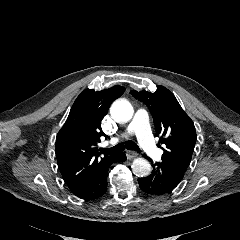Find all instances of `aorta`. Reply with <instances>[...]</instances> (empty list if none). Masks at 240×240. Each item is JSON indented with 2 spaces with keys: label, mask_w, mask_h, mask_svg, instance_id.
Returning a JSON list of instances; mask_svg holds the SVG:
<instances>
[{
  "label": "aorta",
  "mask_w": 240,
  "mask_h": 240,
  "mask_svg": "<svg viewBox=\"0 0 240 240\" xmlns=\"http://www.w3.org/2000/svg\"><path fill=\"white\" fill-rule=\"evenodd\" d=\"M110 113L116 121L128 122L133 117L134 110L130 102L117 100L112 104ZM131 168L133 173L138 177H146L151 172L149 161L142 157L134 159Z\"/></svg>",
  "instance_id": "762f6f07"
}]
</instances>
